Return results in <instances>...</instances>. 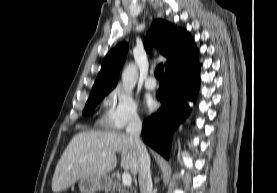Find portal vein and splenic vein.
Wrapping results in <instances>:
<instances>
[{"label": "portal vein and splenic vein", "instance_id": "obj_1", "mask_svg": "<svg viewBox=\"0 0 277 193\" xmlns=\"http://www.w3.org/2000/svg\"><path fill=\"white\" fill-rule=\"evenodd\" d=\"M103 156H106V154L104 153ZM122 184L124 186H131L132 178H131V175L128 172H124L122 174Z\"/></svg>", "mask_w": 277, "mask_h": 193}]
</instances>
